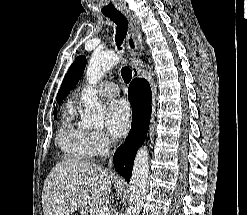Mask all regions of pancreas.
<instances>
[{
	"mask_svg": "<svg viewBox=\"0 0 247 215\" xmlns=\"http://www.w3.org/2000/svg\"><path fill=\"white\" fill-rule=\"evenodd\" d=\"M99 208L97 206H91L90 208H85L82 212L81 215H96V211Z\"/></svg>",
	"mask_w": 247,
	"mask_h": 215,
	"instance_id": "cf45deb5",
	"label": "pancreas"
}]
</instances>
